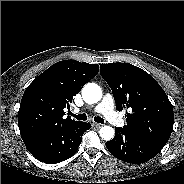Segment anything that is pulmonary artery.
Masks as SVG:
<instances>
[{
  "label": "pulmonary artery",
  "instance_id": "pulmonary-artery-1",
  "mask_svg": "<svg viewBox=\"0 0 184 184\" xmlns=\"http://www.w3.org/2000/svg\"><path fill=\"white\" fill-rule=\"evenodd\" d=\"M94 110L103 114L111 124L116 126L124 125V120L115 111L114 100L110 94H106Z\"/></svg>",
  "mask_w": 184,
  "mask_h": 184
}]
</instances>
